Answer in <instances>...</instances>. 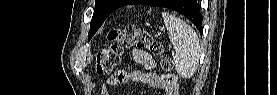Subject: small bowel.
<instances>
[{
	"label": "small bowel",
	"mask_w": 277,
	"mask_h": 95,
	"mask_svg": "<svg viewBox=\"0 0 277 95\" xmlns=\"http://www.w3.org/2000/svg\"><path fill=\"white\" fill-rule=\"evenodd\" d=\"M133 60L143 67L142 71L135 72L131 76L126 70H119L115 74L107 78V84L116 86L126 82L129 77L132 80L152 86H159L162 90V95H176L177 80L175 77L167 76L161 78L154 70L156 62L152 55L147 51L133 50ZM101 95H110L108 86L102 85L100 89Z\"/></svg>",
	"instance_id": "obj_1"
}]
</instances>
